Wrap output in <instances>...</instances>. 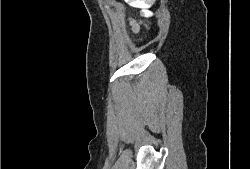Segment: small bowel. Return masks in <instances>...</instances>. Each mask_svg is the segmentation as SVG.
I'll use <instances>...</instances> for the list:
<instances>
[{
    "mask_svg": "<svg viewBox=\"0 0 250 169\" xmlns=\"http://www.w3.org/2000/svg\"><path fill=\"white\" fill-rule=\"evenodd\" d=\"M133 25H134V27H135V29H136V28H137V25H136L135 23H134Z\"/></svg>",
    "mask_w": 250,
    "mask_h": 169,
    "instance_id": "obj_1",
    "label": "small bowel"
}]
</instances>
